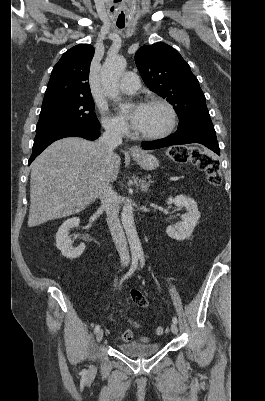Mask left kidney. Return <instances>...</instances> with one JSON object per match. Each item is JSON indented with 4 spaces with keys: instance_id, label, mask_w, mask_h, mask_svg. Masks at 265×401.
<instances>
[{
    "instance_id": "left-kidney-1",
    "label": "left kidney",
    "mask_w": 265,
    "mask_h": 401,
    "mask_svg": "<svg viewBox=\"0 0 265 401\" xmlns=\"http://www.w3.org/2000/svg\"><path fill=\"white\" fill-rule=\"evenodd\" d=\"M167 205H176V207H186L187 213L182 215V223H177V225H172V227H167L166 233L171 237V239H176V241H184V239H189L197 225V221L200 219V213L198 211L197 203L193 201L191 196H184V194H177L175 198L169 196L166 201Z\"/></svg>"
}]
</instances>
